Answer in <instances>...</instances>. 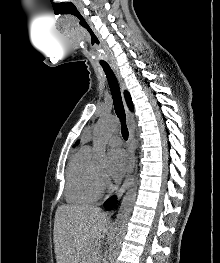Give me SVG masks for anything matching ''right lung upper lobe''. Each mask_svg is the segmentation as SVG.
<instances>
[{"mask_svg": "<svg viewBox=\"0 0 220 263\" xmlns=\"http://www.w3.org/2000/svg\"><path fill=\"white\" fill-rule=\"evenodd\" d=\"M125 98H126V101H127V104H128V106H129V108H130L131 110H133V104H132L131 97H130V95H129L128 92H125ZM78 143H79V141L76 142V145H77Z\"/></svg>", "mask_w": 220, "mask_h": 263, "instance_id": "right-lung-upper-lobe-1", "label": "right lung upper lobe"}]
</instances>
